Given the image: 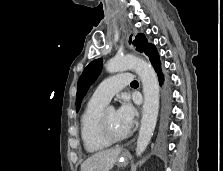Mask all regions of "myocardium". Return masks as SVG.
<instances>
[{
	"mask_svg": "<svg viewBox=\"0 0 223 171\" xmlns=\"http://www.w3.org/2000/svg\"><path fill=\"white\" fill-rule=\"evenodd\" d=\"M98 133H99L100 137L102 138V140H104L108 144L120 142L128 137V133H126L125 135L120 136V137H115L110 133L108 126H107V121H106V110H103L99 116Z\"/></svg>",
	"mask_w": 223,
	"mask_h": 171,
	"instance_id": "obj_1",
	"label": "myocardium"
}]
</instances>
